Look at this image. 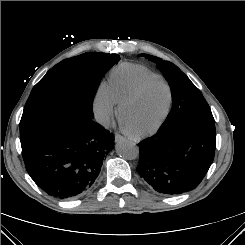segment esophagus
<instances>
[{"mask_svg": "<svg viewBox=\"0 0 245 245\" xmlns=\"http://www.w3.org/2000/svg\"><path fill=\"white\" fill-rule=\"evenodd\" d=\"M114 138H115V142H119V141L125 139V137H123L120 134H115Z\"/></svg>", "mask_w": 245, "mask_h": 245, "instance_id": "34e87169", "label": "esophagus"}]
</instances>
